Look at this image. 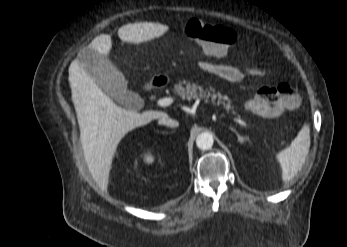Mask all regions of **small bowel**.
Instances as JSON below:
<instances>
[{"instance_id": "small-bowel-1", "label": "small bowel", "mask_w": 347, "mask_h": 247, "mask_svg": "<svg viewBox=\"0 0 347 247\" xmlns=\"http://www.w3.org/2000/svg\"><path fill=\"white\" fill-rule=\"evenodd\" d=\"M199 68L205 73L217 76L231 83L241 82L244 78V73L241 70L224 63L201 61L199 62ZM247 72L249 75L257 76L260 74V69L257 66L249 67Z\"/></svg>"}]
</instances>
